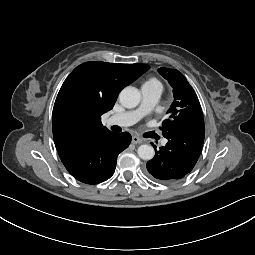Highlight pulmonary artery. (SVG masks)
<instances>
[{"label":"pulmonary artery","mask_w":255,"mask_h":255,"mask_svg":"<svg viewBox=\"0 0 255 255\" xmlns=\"http://www.w3.org/2000/svg\"><path fill=\"white\" fill-rule=\"evenodd\" d=\"M161 92L162 87L160 85H143L142 103L140 107L136 110L113 115L108 119V123L122 127L135 124L153 109L160 98ZM166 142V140L162 141L163 144H166Z\"/></svg>","instance_id":"e3ab8cb5"}]
</instances>
